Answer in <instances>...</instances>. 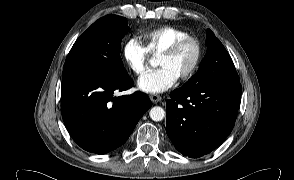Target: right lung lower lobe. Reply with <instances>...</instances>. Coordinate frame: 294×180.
<instances>
[{
  "instance_id": "1",
  "label": "right lung lower lobe",
  "mask_w": 294,
  "mask_h": 180,
  "mask_svg": "<svg viewBox=\"0 0 294 180\" xmlns=\"http://www.w3.org/2000/svg\"><path fill=\"white\" fill-rule=\"evenodd\" d=\"M133 86L129 77L96 75L62 81L61 113L73 140L84 150L108 153L126 142L142 115L151 107L142 92L115 97Z\"/></svg>"
}]
</instances>
